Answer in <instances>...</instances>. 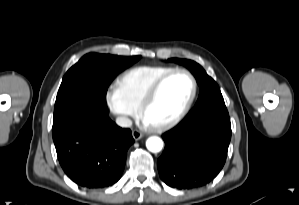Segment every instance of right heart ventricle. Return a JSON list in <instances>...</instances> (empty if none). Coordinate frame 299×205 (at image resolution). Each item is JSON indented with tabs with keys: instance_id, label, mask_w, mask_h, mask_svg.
Listing matches in <instances>:
<instances>
[{
	"instance_id": "1",
	"label": "right heart ventricle",
	"mask_w": 299,
	"mask_h": 205,
	"mask_svg": "<svg viewBox=\"0 0 299 205\" xmlns=\"http://www.w3.org/2000/svg\"><path fill=\"white\" fill-rule=\"evenodd\" d=\"M167 66H138L124 72L116 82L125 102L137 110L152 85L173 70Z\"/></svg>"
}]
</instances>
